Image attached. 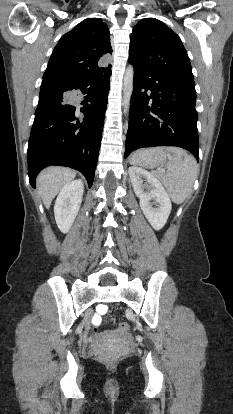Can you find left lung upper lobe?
Listing matches in <instances>:
<instances>
[{
    "mask_svg": "<svg viewBox=\"0 0 233 414\" xmlns=\"http://www.w3.org/2000/svg\"><path fill=\"white\" fill-rule=\"evenodd\" d=\"M129 61L161 77L194 81L179 36L155 18H144L134 27Z\"/></svg>",
    "mask_w": 233,
    "mask_h": 414,
    "instance_id": "1",
    "label": "left lung upper lobe"
}]
</instances>
